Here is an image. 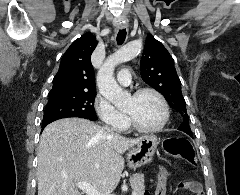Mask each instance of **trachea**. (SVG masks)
<instances>
[{"instance_id": "3493384b", "label": "trachea", "mask_w": 240, "mask_h": 195, "mask_svg": "<svg viewBox=\"0 0 240 195\" xmlns=\"http://www.w3.org/2000/svg\"><path fill=\"white\" fill-rule=\"evenodd\" d=\"M126 29L124 28L123 30H119L118 35H117V44L118 45H122V43L125 41L126 39Z\"/></svg>"}]
</instances>
